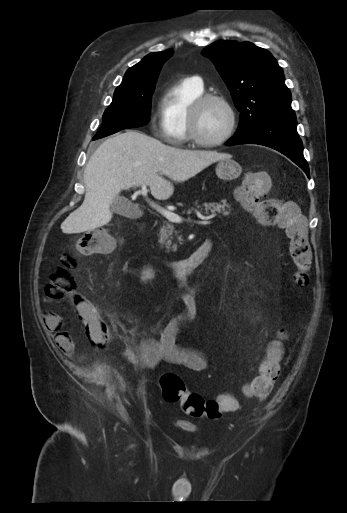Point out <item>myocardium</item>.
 <instances>
[{
  "instance_id": "f54148a6",
  "label": "myocardium",
  "mask_w": 347,
  "mask_h": 513,
  "mask_svg": "<svg viewBox=\"0 0 347 513\" xmlns=\"http://www.w3.org/2000/svg\"><path fill=\"white\" fill-rule=\"evenodd\" d=\"M209 102H217L225 107L229 115V123L225 133L216 140L203 139L198 133V116L200 110ZM237 125L236 111L231 102L224 96L214 93H203L190 105L187 115V129L189 140L198 146L213 148L224 144L235 132Z\"/></svg>"
}]
</instances>
